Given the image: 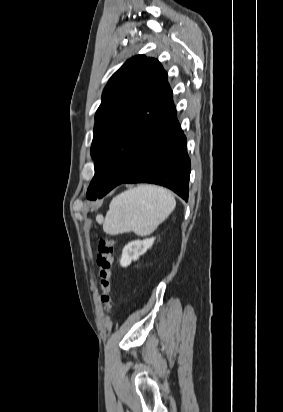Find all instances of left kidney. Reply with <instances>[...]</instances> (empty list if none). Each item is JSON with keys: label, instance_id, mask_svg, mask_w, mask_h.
Here are the masks:
<instances>
[{"label": "left kidney", "instance_id": "obj_1", "mask_svg": "<svg viewBox=\"0 0 283 412\" xmlns=\"http://www.w3.org/2000/svg\"><path fill=\"white\" fill-rule=\"evenodd\" d=\"M155 238H146L144 240H134L129 242L122 251L120 264L122 267H127L132 261L137 260L143 255L154 243Z\"/></svg>", "mask_w": 283, "mask_h": 412}]
</instances>
